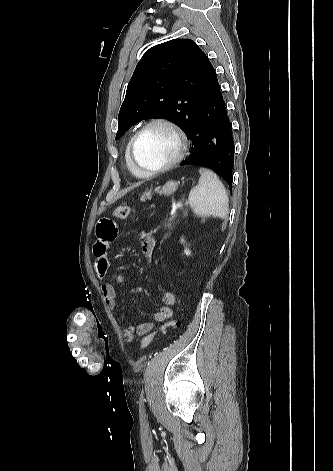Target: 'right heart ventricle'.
Instances as JSON below:
<instances>
[{
    "label": "right heart ventricle",
    "instance_id": "1",
    "mask_svg": "<svg viewBox=\"0 0 333 471\" xmlns=\"http://www.w3.org/2000/svg\"><path fill=\"white\" fill-rule=\"evenodd\" d=\"M129 144H130V141L129 143L127 144V147H126V152H125V160H126V165H127V168L128 170L134 174L135 176H138V177H145V175H142L139 171H137L133 165L131 164L130 162V159H129Z\"/></svg>",
    "mask_w": 333,
    "mask_h": 471
}]
</instances>
